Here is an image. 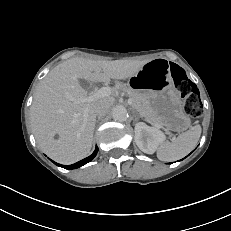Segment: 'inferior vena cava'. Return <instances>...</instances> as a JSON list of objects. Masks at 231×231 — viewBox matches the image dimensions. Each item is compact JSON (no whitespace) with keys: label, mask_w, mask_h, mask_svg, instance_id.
<instances>
[{"label":"inferior vena cava","mask_w":231,"mask_h":231,"mask_svg":"<svg viewBox=\"0 0 231 231\" xmlns=\"http://www.w3.org/2000/svg\"><path fill=\"white\" fill-rule=\"evenodd\" d=\"M108 110H109V106L100 102L95 107V114L96 116H98V118H101V117H104L108 113Z\"/></svg>","instance_id":"obj_1"}]
</instances>
